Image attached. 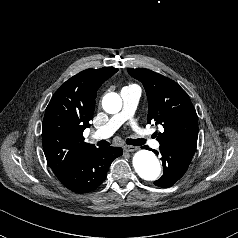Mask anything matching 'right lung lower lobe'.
<instances>
[{"mask_svg":"<svg viewBox=\"0 0 238 238\" xmlns=\"http://www.w3.org/2000/svg\"><path fill=\"white\" fill-rule=\"evenodd\" d=\"M123 153L120 147H99L88 151L70 170L57 178L75 193H88L105 180L112 161Z\"/></svg>","mask_w":238,"mask_h":238,"instance_id":"98d812e1","label":"right lung lower lobe"}]
</instances>
